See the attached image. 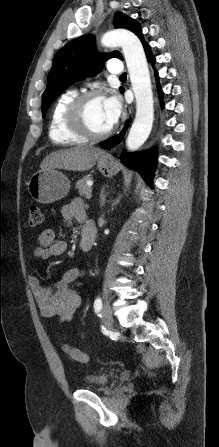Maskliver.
I'll list each match as a JSON object with an SVG mask.
<instances>
[{"label": "liver", "instance_id": "6515ba94", "mask_svg": "<svg viewBox=\"0 0 219 447\" xmlns=\"http://www.w3.org/2000/svg\"><path fill=\"white\" fill-rule=\"evenodd\" d=\"M104 153L99 148L84 145L61 149L47 155L40 164V168L42 170L87 171L95 165L96 160Z\"/></svg>", "mask_w": 219, "mask_h": 447}]
</instances>
